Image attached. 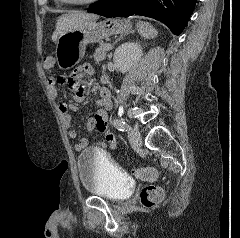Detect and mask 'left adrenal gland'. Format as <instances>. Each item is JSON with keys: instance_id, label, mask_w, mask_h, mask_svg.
<instances>
[{"instance_id": "1", "label": "left adrenal gland", "mask_w": 240, "mask_h": 238, "mask_svg": "<svg viewBox=\"0 0 240 238\" xmlns=\"http://www.w3.org/2000/svg\"><path fill=\"white\" fill-rule=\"evenodd\" d=\"M131 33H134V31H129L128 33H125L124 35H121V36L113 43V45H112L111 48H113L114 45H115L118 41H120L121 39H123V37H125L126 35H129V34H131ZM111 56H112V54H110L109 58H110Z\"/></svg>"}]
</instances>
